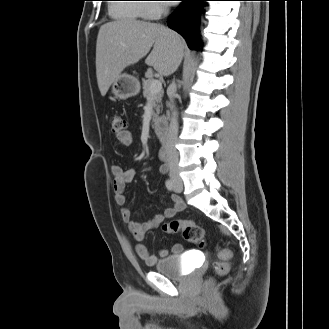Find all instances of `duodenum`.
Instances as JSON below:
<instances>
[{"instance_id":"410a0bca","label":"duodenum","mask_w":329,"mask_h":329,"mask_svg":"<svg viewBox=\"0 0 329 329\" xmlns=\"http://www.w3.org/2000/svg\"><path fill=\"white\" fill-rule=\"evenodd\" d=\"M152 128L157 135L158 139L164 143L167 144L168 138H167V122L163 117L156 118L153 121Z\"/></svg>"}]
</instances>
